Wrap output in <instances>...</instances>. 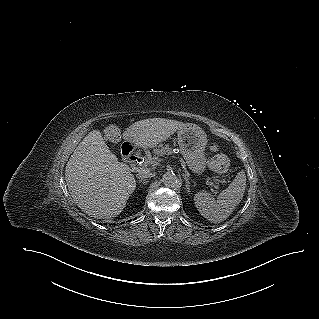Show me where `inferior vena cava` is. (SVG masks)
Here are the masks:
<instances>
[{"instance_id": "1", "label": "inferior vena cava", "mask_w": 319, "mask_h": 319, "mask_svg": "<svg viewBox=\"0 0 319 319\" xmlns=\"http://www.w3.org/2000/svg\"><path fill=\"white\" fill-rule=\"evenodd\" d=\"M154 176V173L150 171L149 169H142L139 170L137 174V178L139 179H148Z\"/></svg>"}]
</instances>
